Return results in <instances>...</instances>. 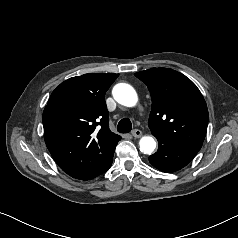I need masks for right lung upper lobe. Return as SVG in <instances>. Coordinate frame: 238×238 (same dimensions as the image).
<instances>
[{"instance_id":"1","label":"right lung upper lobe","mask_w":238,"mask_h":238,"mask_svg":"<svg viewBox=\"0 0 238 238\" xmlns=\"http://www.w3.org/2000/svg\"><path fill=\"white\" fill-rule=\"evenodd\" d=\"M118 76L89 73L69 78L52 92L45 107V143L58 166L73 178L100 175L121 139L108 128L104 100Z\"/></svg>"}]
</instances>
